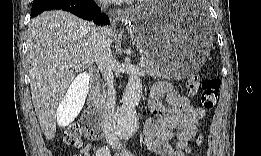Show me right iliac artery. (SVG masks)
Masks as SVG:
<instances>
[{
	"mask_svg": "<svg viewBox=\"0 0 261 156\" xmlns=\"http://www.w3.org/2000/svg\"><path fill=\"white\" fill-rule=\"evenodd\" d=\"M96 155L97 156H109L110 150L107 146L99 147L98 150L96 151Z\"/></svg>",
	"mask_w": 261,
	"mask_h": 156,
	"instance_id": "right-iliac-artery-1",
	"label": "right iliac artery"
}]
</instances>
